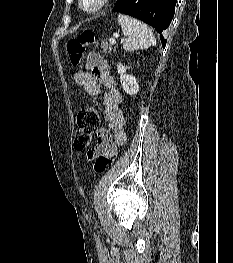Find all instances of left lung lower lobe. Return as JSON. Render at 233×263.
I'll use <instances>...</instances> for the list:
<instances>
[{"mask_svg": "<svg viewBox=\"0 0 233 263\" xmlns=\"http://www.w3.org/2000/svg\"><path fill=\"white\" fill-rule=\"evenodd\" d=\"M177 0H117L113 11L140 19L162 33L174 16ZM162 46L166 40L160 35Z\"/></svg>", "mask_w": 233, "mask_h": 263, "instance_id": "obj_1", "label": "left lung lower lobe"}]
</instances>
